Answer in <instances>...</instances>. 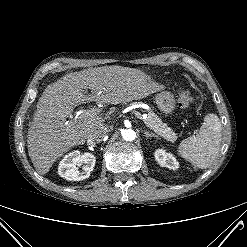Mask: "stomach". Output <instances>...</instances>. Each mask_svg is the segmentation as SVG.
Instances as JSON below:
<instances>
[{
	"label": "stomach",
	"mask_w": 247,
	"mask_h": 247,
	"mask_svg": "<svg viewBox=\"0 0 247 247\" xmlns=\"http://www.w3.org/2000/svg\"><path fill=\"white\" fill-rule=\"evenodd\" d=\"M156 104L161 112L165 114L171 113L175 108V99L174 96L170 92L163 91L157 94Z\"/></svg>",
	"instance_id": "obj_1"
}]
</instances>
